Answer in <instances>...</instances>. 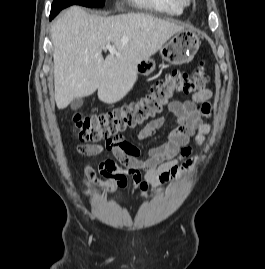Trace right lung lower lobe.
<instances>
[{
  "instance_id": "right-lung-lower-lobe-1",
  "label": "right lung lower lobe",
  "mask_w": 265,
  "mask_h": 269,
  "mask_svg": "<svg viewBox=\"0 0 265 269\" xmlns=\"http://www.w3.org/2000/svg\"><path fill=\"white\" fill-rule=\"evenodd\" d=\"M59 11H52L51 10V14H50V20L53 19L57 14H58Z\"/></svg>"
}]
</instances>
